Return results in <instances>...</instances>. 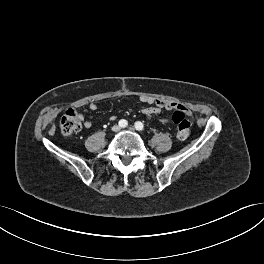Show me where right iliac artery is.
I'll return each instance as SVG.
<instances>
[{"label":"right iliac artery","mask_w":264,"mask_h":264,"mask_svg":"<svg viewBox=\"0 0 264 264\" xmlns=\"http://www.w3.org/2000/svg\"><path fill=\"white\" fill-rule=\"evenodd\" d=\"M118 125L122 128H125L127 125H128V122L125 120V119H121L119 122H118Z\"/></svg>","instance_id":"obj_1"}]
</instances>
